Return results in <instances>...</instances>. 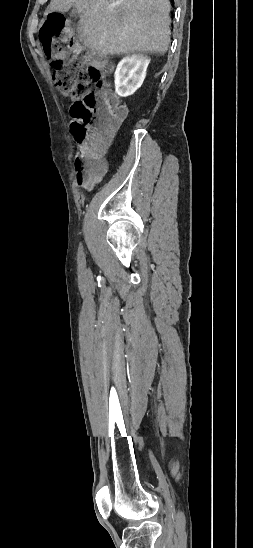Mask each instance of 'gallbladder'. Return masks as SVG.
<instances>
[{
	"instance_id": "obj_1",
	"label": "gallbladder",
	"mask_w": 253,
	"mask_h": 548,
	"mask_svg": "<svg viewBox=\"0 0 253 548\" xmlns=\"http://www.w3.org/2000/svg\"><path fill=\"white\" fill-rule=\"evenodd\" d=\"M72 17H77L79 15L78 11L76 9H73L70 13Z\"/></svg>"
}]
</instances>
